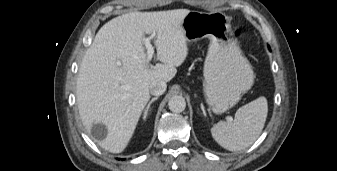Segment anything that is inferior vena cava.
<instances>
[{"instance_id": "inferior-vena-cava-1", "label": "inferior vena cava", "mask_w": 337, "mask_h": 171, "mask_svg": "<svg viewBox=\"0 0 337 171\" xmlns=\"http://www.w3.org/2000/svg\"><path fill=\"white\" fill-rule=\"evenodd\" d=\"M167 85L164 81L154 80L150 86V93L154 96H160L166 91Z\"/></svg>"}]
</instances>
